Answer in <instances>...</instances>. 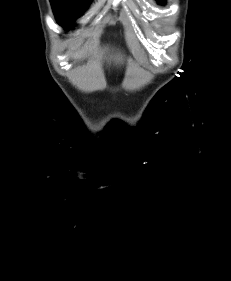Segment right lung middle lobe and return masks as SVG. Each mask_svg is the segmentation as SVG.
<instances>
[{"mask_svg":"<svg viewBox=\"0 0 231 281\" xmlns=\"http://www.w3.org/2000/svg\"><path fill=\"white\" fill-rule=\"evenodd\" d=\"M91 0H50L57 22L69 28L80 17Z\"/></svg>","mask_w":231,"mask_h":281,"instance_id":"right-lung-middle-lobe-1","label":"right lung middle lobe"}]
</instances>
